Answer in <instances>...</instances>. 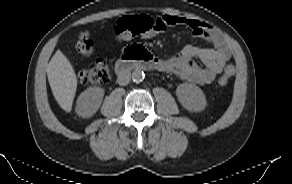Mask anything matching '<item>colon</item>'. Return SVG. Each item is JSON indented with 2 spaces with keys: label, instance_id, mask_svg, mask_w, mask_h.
Instances as JSON below:
<instances>
[{
  "label": "colon",
  "instance_id": "1",
  "mask_svg": "<svg viewBox=\"0 0 292 184\" xmlns=\"http://www.w3.org/2000/svg\"><path fill=\"white\" fill-rule=\"evenodd\" d=\"M115 36L125 41L135 36H139L145 40L155 39L161 29L155 18L148 15L126 16L121 18L115 26ZM77 51L82 55H89L93 50V41L88 33L80 34L77 43ZM235 67L227 65L222 76L218 80V84L223 86L234 76ZM79 81L82 84H106L111 80V72L108 61L100 59L90 65L88 68L80 71L78 74Z\"/></svg>",
  "mask_w": 292,
  "mask_h": 184
}]
</instances>
